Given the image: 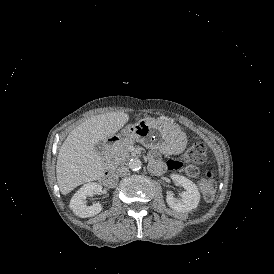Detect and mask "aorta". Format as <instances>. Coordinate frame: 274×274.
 <instances>
[{"label": "aorta", "instance_id": "aorta-1", "mask_svg": "<svg viewBox=\"0 0 274 274\" xmlns=\"http://www.w3.org/2000/svg\"><path fill=\"white\" fill-rule=\"evenodd\" d=\"M141 166H142V162L138 158L131 159L130 162H129V168L132 171H139Z\"/></svg>", "mask_w": 274, "mask_h": 274}]
</instances>
